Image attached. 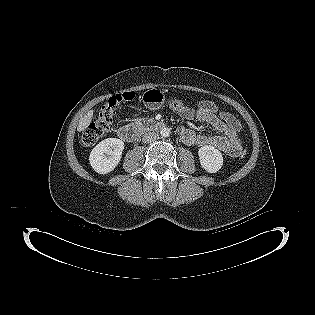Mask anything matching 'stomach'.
Masks as SVG:
<instances>
[{
	"label": "stomach",
	"mask_w": 315,
	"mask_h": 315,
	"mask_svg": "<svg viewBox=\"0 0 315 315\" xmlns=\"http://www.w3.org/2000/svg\"><path fill=\"white\" fill-rule=\"evenodd\" d=\"M142 99L148 108L158 109L163 105L165 101V95L158 89H150L144 92Z\"/></svg>",
	"instance_id": "0dacf381"
}]
</instances>
